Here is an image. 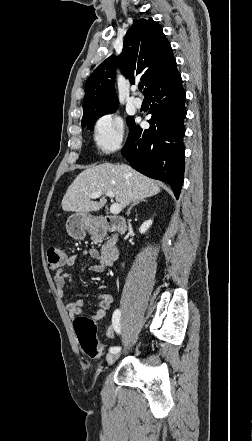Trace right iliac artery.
<instances>
[{
    "mask_svg": "<svg viewBox=\"0 0 252 441\" xmlns=\"http://www.w3.org/2000/svg\"><path fill=\"white\" fill-rule=\"evenodd\" d=\"M120 317H121V312L119 309H116L113 313L112 323H113L115 331L118 334L121 331ZM109 351H110V353H118L120 351V347H110Z\"/></svg>",
    "mask_w": 252,
    "mask_h": 441,
    "instance_id": "obj_1",
    "label": "right iliac artery"
}]
</instances>
